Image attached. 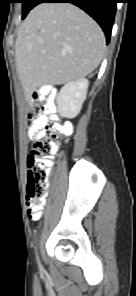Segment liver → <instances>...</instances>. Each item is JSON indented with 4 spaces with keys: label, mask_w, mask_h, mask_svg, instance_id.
<instances>
[{
    "label": "liver",
    "mask_w": 136,
    "mask_h": 296,
    "mask_svg": "<svg viewBox=\"0 0 136 296\" xmlns=\"http://www.w3.org/2000/svg\"><path fill=\"white\" fill-rule=\"evenodd\" d=\"M105 37L100 26L70 3H41L22 23L15 42L16 68L29 98L43 85L84 78L100 64Z\"/></svg>",
    "instance_id": "obj_1"
}]
</instances>
